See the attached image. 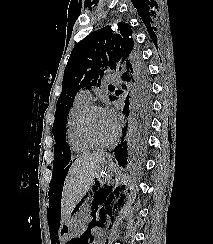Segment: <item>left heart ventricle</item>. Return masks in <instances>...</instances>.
<instances>
[{
  "mask_svg": "<svg viewBox=\"0 0 213 244\" xmlns=\"http://www.w3.org/2000/svg\"><path fill=\"white\" fill-rule=\"evenodd\" d=\"M91 133L98 140H108L112 137L115 125H112L106 118L104 110H94L89 118Z\"/></svg>",
  "mask_w": 213,
  "mask_h": 244,
  "instance_id": "1",
  "label": "left heart ventricle"
}]
</instances>
